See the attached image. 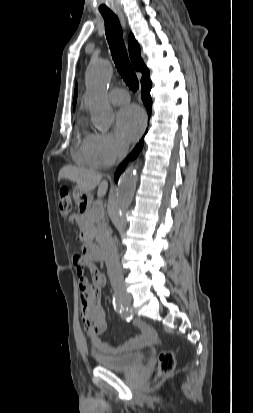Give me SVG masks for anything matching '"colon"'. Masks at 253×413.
Wrapping results in <instances>:
<instances>
[{
    "label": "colon",
    "mask_w": 253,
    "mask_h": 413,
    "mask_svg": "<svg viewBox=\"0 0 253 413\" xmlns=\"http://www.w3.org/2000/svg\"><path fill=\"white\" fill-rule=\"evenodd\" d=\"M60 211L63 215H68L72 211V200L68 190L60 191L59 200ZM175 368V356L172 351H163L158 358V375L166 376Z\"/></svg>",
    "instance_id": "colon-1"
}]
</instances>
